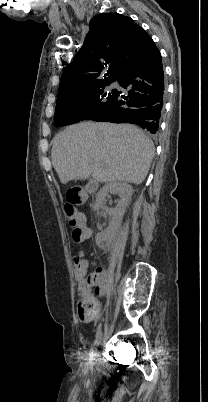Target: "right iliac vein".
Segmentation results:
<instances>
[{
	"mask_svg": "<svg viewBox=\"0 0 208 402\" xmlns=\"http://www.w3.org/2000/svg\"><path fill=\"white\" fill-rule=\"evenodd\" d=\"M101 340H102V333H100L99 338H98V340L96 342L97 346L101 343ZM95 356H96V351L93 352L92 359L90 360V362L88 364L90 368L93 366V360L95 359Z\"/></svg>",
	"mask_w": 208,
	"mask_h": 402,
	"instance_id": "obj_1",
	"label": "right iliac vein"
}]
</instances>
